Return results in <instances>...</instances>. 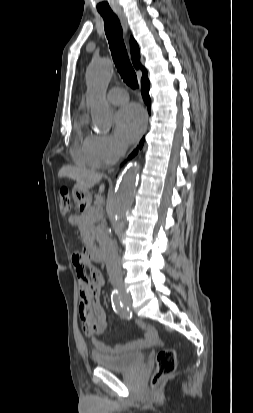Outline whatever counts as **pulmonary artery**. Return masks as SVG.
Segmentation results:
<instances>
[{"label":"pulmonary artery","instance_id":"e3ab8cb5","mask_svg":"<svg viewBox=\"0 0 253 413\" xmlns=\"http://www.w3.org/2000/svg\"><path fill=\"white\" fill-rule=\"evenodd\" d=\"M107 99L110 103L119 105L128 101V95L126 91L121 88H113L108 92Z\"/></svg>","mask_w":253,"mask_h":413}]
</instances>
